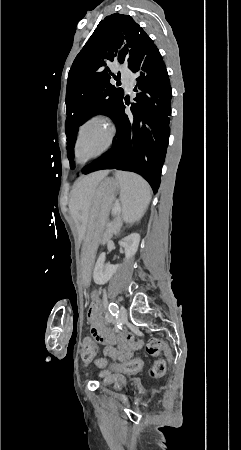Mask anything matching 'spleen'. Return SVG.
Masks as SVG:
<instances>
[{
	"label": "spleen",
	"mask_w": 241,
	"mask_h": 450,
	"mask_svg": "<svg viewBox=\"0 0 241 450\" xmlns=\"http://www.w3.org/2000/svg\"><path fill=\"white\" fill-rule=\"evenodd\" d=\"M122 200L124 222H136L144 216L151 200V188L141 176L133 172H116Z\"/></svg>",
	"instance_id": "1"
}]
</instances>
